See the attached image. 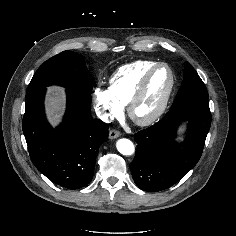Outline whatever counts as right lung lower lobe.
<instances>
[{"mask_svg":"<svg viewBox=\"0 0 236 236\" xmlns=\"http://www.w3.org/2000/svg\"><path fill=\"white\" fill-rule=\"evenodd\" d=\"M46 87L26 94L22 122L29 154L36 168L67 189L86 186L92 179L99 146L107 141L108 125L90 114V93L67 89V109L53 129L44 113Z\"/></svg>","mask_w":236,"mask_h":236,"instance_id":"right-lung-lower-lobe-1","label":"right lung lower lobe"}]
</instances>
